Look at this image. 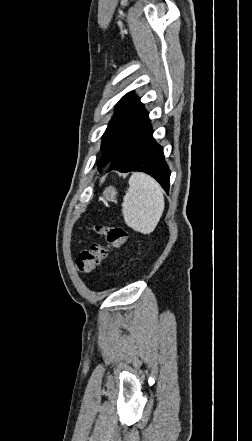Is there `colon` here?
<instances>
[{
  "mask_svg": "<svg viewBox=\"0 0 252 441\" xmlns=\"http://www.w3.org/2000/svg\"><path fill=\"white\" fill-rule=\"evenodd\" d=\"M95 231L105 237L106 245L94 243L90 249L82 251L76 259V268L83 275H89L107 257L113 248H119L127 240L126 230L117 225H97Z\"/></svg>",
  "mask_w": 252,
  "mask_h": 441,
  "instance_id": "obj_1",
  "label": "colon"
}]
</instances>
